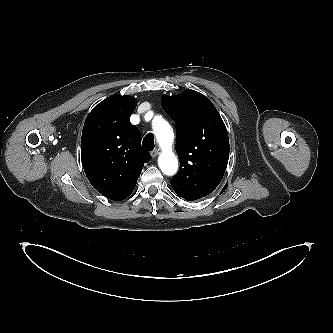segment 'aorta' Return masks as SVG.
<instances>
[{
    "instance_id": "obj_1",
    "label": "aorta",
    "mask_w": 333,
    "mask_h": 333,
    "mask_svg": "<svg viewBox=\"0 0 333 333\" xmlns=\"http://www.w3.org/2000/svg\"><path fill=\"white\" fill-rule=\"evenodd\" d=\"M153 129L163 150L158 158L159 167L164 174L173 175L177 171L178 160L171 147L174 139L172 128L167 121L159 119L154 123Z\"/></svg>"
}]
</instances>
